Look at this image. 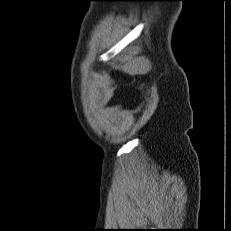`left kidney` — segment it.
Returning <instances> with one entry per match:
<instances>
[{"instance_id":"obj_1","label":"left kidney","mask_w":231,"mask_h":231,"mask_svg":"<svg viewBox=\"0 0 231 231\" xmlns=\"http://www.w3.org/2000/svg\"><path fill=\"white\" fill-rule=\"evenodd\" d=\"M150 69V61L144 57L134 58L124 66V72L130 75L146 74Z\"/></svg>"}]
</instances>
